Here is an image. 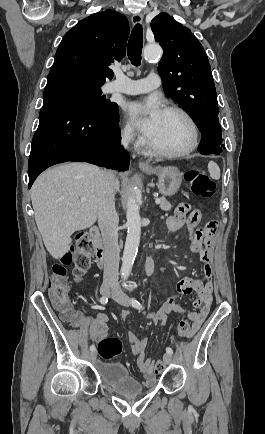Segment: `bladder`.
Here are the masks:
<instances>
[{"label": "bladder", "instance_id": "31cf9c89", "mask_svg": "<svg viewBox=\"0 0 265 434\" xmlns=\"http://www.w3.org/2000/svg\"><path fill=\"white\" fill-rule=\"evenodd\" d=\"M96 369L100 379L123 397L133 398L145 392V387L120 362L100 361Z\"/></svg>", "mask_w": 265, "mask_h": 434}]
</instances>
